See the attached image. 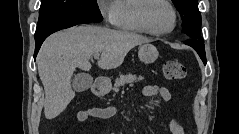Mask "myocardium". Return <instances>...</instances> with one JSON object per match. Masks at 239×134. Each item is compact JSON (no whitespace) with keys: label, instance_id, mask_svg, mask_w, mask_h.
<instances>
[{"label":"myocardium","instance_id":"myocardium-1","mask_svg":"<svg viewBox=\"0 0 239 134\" xmlns=\"http://www.w3.org/2000/svg\"><path fill=\"white\" fill-rule=\"evenodd\" d=\"M155 1H160L162 3H164L171 11L172 16H173V22H172V26L165 31H156L154 30L148 20V10L150 8V6L152 5L153 2ZM138 19L139 22L141 24V26L143 27V29L153 35V36H166L171 34L177 26V22H178V16H177V12L176 9L174 8V6L172 5V3L168 0H143L139 10H138Z\"/></svg>","mask_w":239,"mask_h":134}]
</instances>
